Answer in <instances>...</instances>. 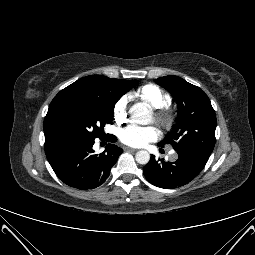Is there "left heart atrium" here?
<instances>
[{"label": "left heart atrium", "mask_w": 255, "mask_h": 255, "mask_svg": "<svg viewBox=\"0 0 255 255\" xmlns=\"http://www.w3.org/2000/svg\"><path fill=\"white\" fill-rule=\"evenodd\" d=\"M160 135L154 126L128 125L120 130L119 138L122 143L131 147H143L156 140Z\"/></svg>", "instance_id": "39dd6f15"}]
</instances>
